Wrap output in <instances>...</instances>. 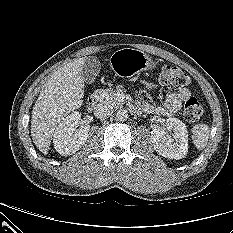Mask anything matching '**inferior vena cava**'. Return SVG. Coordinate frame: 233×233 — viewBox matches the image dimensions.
<instances>
[{"instance_id":"inferior-vena-cava-1","label":"inferior vena cava","mask_w":233,"mask_h":233,"mask_svg":"<svg viewBox=\"0 0 233 233\" xmlns=\"http://www.w3.org/2000/svg\"><path fill=\"white\" fill-rule=\"evenodd\" d=\"M113 113V108L104 103L98 104L94 109V115L100 119H106L111 116Z\"/></svg>"}]
</instances>
